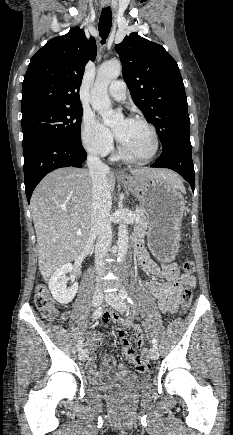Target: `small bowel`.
Segmentation results:
<instances>
[{"label": "small bowel", "mask_w": 233, "mask_h": 435, "mask_svg": "<svg viewBox=\"0 0 233 435\" xmlns=\"http://www.w3.org/2000/svg\"><path fill=\"white\" fill-rule=\"evenodd\" d=\"M135 245L138 248L137 256L143 270L148 275L147 289L151 295L158 301V310L163 314L175 313L180 304V279H184L181 275L178 265L169 264L160 266L156 261L152 260L144 249L141 242H136ZM162 278L163 283H159L158 279ZM104 319L112 320L117 328L116 332L119 337L122 349L127 359L136 364L138 356L134 354L133 348L130 345L126 337V328L134 334L135 340L138 346L144 344V332L140 326L134 323L133 317L120 316L114 310H108L103 315ZM92 340L88 343L91 351H95L106 340L107 336L103 333H91ZM114 357L112 355H106L102 360V371L97 369L96 358L92 355L87 363V370L90 378L95 382L102 380L103 375H114L116 377H124L127 379H135L137 377H143L148 372H131L125 368L124 365L118 364L113 367Z\"/></svg>", "instance_id": "small-bowel-1"}]
</instances>
